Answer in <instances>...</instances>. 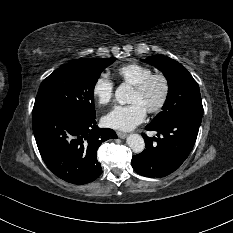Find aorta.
Listing matches in <instances>:
<instances>
[{
    "label": "aorta",
    "mask_w": 233,
    "mask_h": 233,
    "mask_svg": "<svg viewBox=\"0 0 233 233\" xmlns=\"http://www.w3.org/2000/svg\"><path fill=\"white\" fill-rule=\"evenodd\" d=\"M131 94V86L128 84H121L115 91V98L118 103L124 105L130 102ZM126 142L134 153H141L145 148L144 139L139 134H130Z\"/></svg>",
    "instance_id": "1"
}]
</instances>
